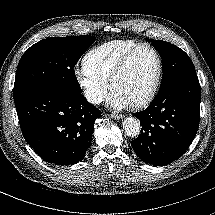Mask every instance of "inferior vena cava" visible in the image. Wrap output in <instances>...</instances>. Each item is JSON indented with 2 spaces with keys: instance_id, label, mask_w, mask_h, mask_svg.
I'll return each instance as SVG.
<instances>
[{
  "instance_id": "1",
  "label": "inferior vena cava",
  "mask_w": 215,
  "mask_h": 215,
  "mask_svg": "<svg viewBox=\"0 0 215 215\" xmlns=\"http://www.w3.org/2000/svg\"><path fill=\"white\" fill-rule=\"evenodd\" d=\"M85 98L88 102L94 103V104H98L102 102V97L98 93H95L89 90L85 92Z\"/></svg>"
}]
</instances>
